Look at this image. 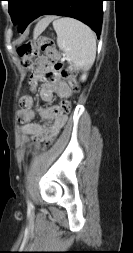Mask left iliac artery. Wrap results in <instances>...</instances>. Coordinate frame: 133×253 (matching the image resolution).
I'll return each instance as SVG.
<instances>
[{"mask_svg": "<svg viewBox=\"0 0 133 253\" xmlns=\"http://www.w3.org/2000/svg\"><path fill=\"white\" fill-rule=\"evenodd\" d=\"M27 202H28V205L30 206V205H31V202H30L29 200H28Z\"/></svg>", "mask_w": 133, "mask_h": 253, "instance_id": "left-iliac-artery-1", "label": "left iliac artery"}]
</instances>
